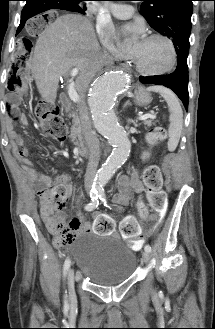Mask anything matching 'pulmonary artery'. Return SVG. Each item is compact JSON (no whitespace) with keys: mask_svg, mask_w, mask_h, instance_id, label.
Masks as SVG:
<instances>
[{"mask_svg":"<svg viewBox=\"0 0 215 329\" xmlns=\"http://www.w3.org/2000/svg\"><path fill=\"white\" fill-rule=\"evenodd\" d=\"M111 14L120 19L130 18L134 14V7L128 4H111L109 6Z\"/></svg>","mask_w":215,"mask_h":329,"instance_id":"1","label":"pulmonary artery"}]
</instances>
